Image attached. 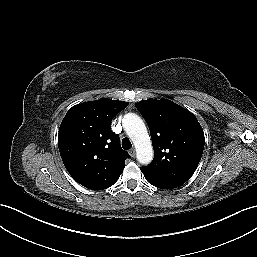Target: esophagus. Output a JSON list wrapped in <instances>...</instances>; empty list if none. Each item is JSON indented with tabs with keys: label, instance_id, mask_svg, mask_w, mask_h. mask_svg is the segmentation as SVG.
I'll use <instances>...</instances> for the list:
<instances>
[{
	"label": "esophagus",
	"instance_id": "obj_1",
	"mask_svg": "<svg viewBox=\"0 0 257 257\" xmlns=\"http://www.w3.org/2000/svg\"><path fill=\"white\" fill-rule=\"evenodd\" d=\"M128 152L131 157H135V154H136L135 149H130Z\"/></svg>",
	"mask_w": 257,
	"mask_h": 257
}]
</instances>
